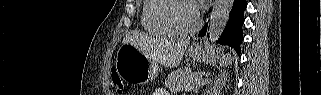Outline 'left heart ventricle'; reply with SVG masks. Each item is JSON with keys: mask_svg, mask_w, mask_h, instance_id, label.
I'll return each mask as SVG.
<instances>
[{"mask_svg": "<svg viewBox=\"0 0 321 95\" xmlns=\"http://www.w3.org/2000/svg\"><path fill=\"white\" fill-rule=\"evenodd\" d=\"M167 20L179 30L192 28L196 21L194 8L186 2H174L166 10Z\"/></svg>", "mask_w": 321, "mask_h": 95, "instance_id": "obj_1", "label": "left heart ventricle"}]
</instances>
